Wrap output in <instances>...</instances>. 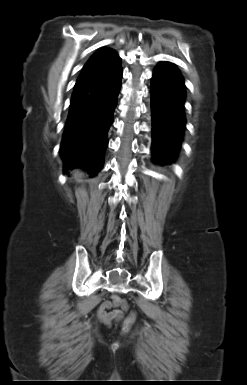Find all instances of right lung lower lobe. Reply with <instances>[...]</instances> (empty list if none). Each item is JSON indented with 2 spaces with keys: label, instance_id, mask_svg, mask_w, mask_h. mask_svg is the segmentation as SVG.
<instances>
[{
  "label": "right lung lower lobe",
  "instance_id": "obj_1",
  "mask_svg": "<svg viewBox=\"0 0 247 385\" xmlns=\"http://www.w3.org/2000/svg\"><path fill=\"white\" fill-rule=\"evenodd\" d=\"M120 62L78 79L72 94L60 154L67 169L100 171L121 87Z\"/></svg>",
  "mask_w": 247,
  "mask_h": 385
}]
</instances>
